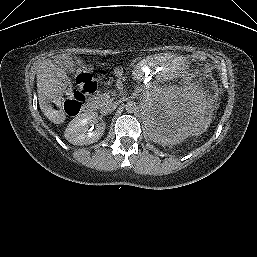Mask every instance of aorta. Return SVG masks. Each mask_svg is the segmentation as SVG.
<instances>
[{
	"label": "aorta",
	"mask_w": 257,
	"mask_h": 257,
	"mask_svg": "<svg viewBox=\"0 0 257 257\" xmlns=\"http://www.w3.org/2000/svg\"><path fill=\"white\" fill-rule=\"evenodd\" d=\"M137 108V104L134 101H129L125 105V109L128 113H134Z\"/></svg>",
	"instance_id": "obj_1"
}]
</instances>
